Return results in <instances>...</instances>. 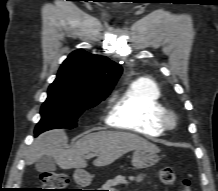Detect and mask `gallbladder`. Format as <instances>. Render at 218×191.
I'll use <instances>...</instances> for the list:
<instances>
[{
    "label": "gallbladder",
    "instance_id": "obj_1",
    "mask_svg": "<svg viewBox=\"0 0 218 191\" xmlns=\"http://www.w3.org/2000/svg\"><path fill=\"white\" fill-rule=\"evenodd\" d=\"M35 168L38 172H52L56 170V164L52 157L42 156L35 163Z\"/></svg>",
    "mask_w": 218,
    "mask_h": 191
}]
</instances>
